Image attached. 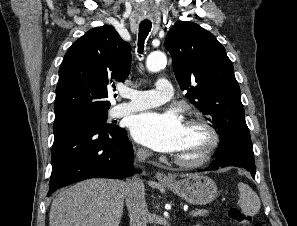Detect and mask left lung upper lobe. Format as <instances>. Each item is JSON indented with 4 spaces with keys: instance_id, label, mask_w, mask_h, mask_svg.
<instances>
[{
    "instance_id": "5c2ea615",
    "label": "left lung upper lobe",
    "mask_w": 297,
    "mask_h": 226,
    "mask_svg": "<svg viewBox=\"0 0 297 226\" xmlns=\"http://www.w3.org/2000/svg\"><path fill=\"white\" fill-rule=\"evenodd\" d=\"M165 48L186 97L212 123L221 144L251 141L233 64L215 36L193 22H177Z\"/></svg>"
}]
</instances>
